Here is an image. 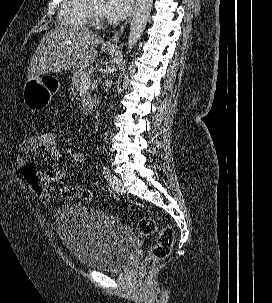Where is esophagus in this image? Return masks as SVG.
Returning a JSON list of instances; mask_svg holds the SVG:
<instances>
[{
	"instance_id": "obj_1",
	"label": "esophagus",
	"mask_w": 272,
	"mask_h": 303,
	"mask_svg": "<svg viewBox=\"0 0 272 303\" xmlns=\"http://www.w3.org/2000/svg\"><path fill=\"white\" fill-rule=\"evenodd\" d=\"M129 20H127L124 24H122L115 32V34L106 41L105 45L108 47H117L118 42L120 40L121 35L123 34L126 25L128 24Z\"/></svg>"
}]
</instances>
